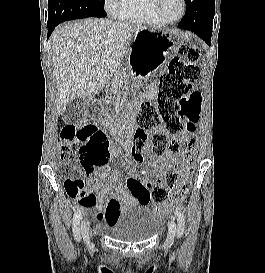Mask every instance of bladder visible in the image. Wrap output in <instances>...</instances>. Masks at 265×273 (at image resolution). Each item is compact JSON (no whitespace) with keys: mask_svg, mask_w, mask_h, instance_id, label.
Listing matches in <instances>:
<instances>
[{"mask_svg":"<svg viewBox=\"0 0 265 273\" xmlns=\"http://www.w3.org/2000/svg\"><path fill=\"white\" fill-rule=\"evenodd\" d=\"M160 216L149 207L138 204L125 208L107 227L115 240L133 243L151 239L160 227Z\"/></svg>","mask_w":265,"mask_h":273,"instance_id":"obj_1","label":"bladder"}]
</instances>
